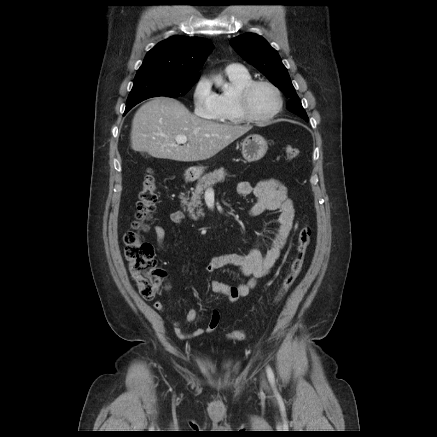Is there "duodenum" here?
<instances>
[{"label":"duodenum","instance_id":"410a0bca","mask_svg":"<svg viewBox=\"0 0 437 437\" xmlns=\"http://www.w3.org/2000/svg\"><path fill=\"white\" fill-rule=\"evenodd\" d=\"M194 172L192 171H187L184 175V179L185 181H191L194 178Z\"/></svg>","mask_w":437,"mask_h":437}]
</instances>
